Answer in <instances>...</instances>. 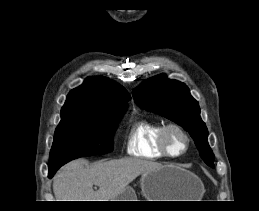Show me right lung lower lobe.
Instances as JSON below:
<instances>
[{
    "instance_id": "obj_1",
    "label": "right lung lower lobe",
    "mask_w": 259,
    "mask_h": 211,
    "mask_svg": "<svg viewBox=\"0 0 259 211\" xmlns=\"http://www.w3.org/2000/svg\"><path fill=\"white\" fill-rule=\"evenodd\" d=\"M60 168V167H59ZM59 168L49 169L48 177L51 178Z\"/></svg>"
}]
</instances>
